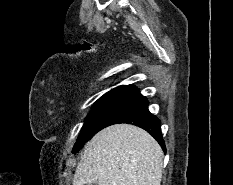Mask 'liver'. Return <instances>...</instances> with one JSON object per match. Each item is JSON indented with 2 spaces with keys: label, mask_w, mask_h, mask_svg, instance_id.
<instances>
[{
  "label": "liver",
  "mask_w": 233,
  "mask_h": 185,
  "mask_svg": "<svg viewBox=\"0 0 233 185\" xmlns=\"http://www.w3.org/2000/svg\"><path fill=\"white\" fill-rule=\"evenodd\" d=\"M163 151L145 130L116 124L98 132L86 145L74 185H160Z\"/></svg>",
  "instance_id": "obj_1"
}]
</instances>
